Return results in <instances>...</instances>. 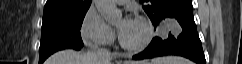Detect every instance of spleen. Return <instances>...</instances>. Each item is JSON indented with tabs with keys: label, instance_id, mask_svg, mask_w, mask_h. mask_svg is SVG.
<instances>
[{
	"label": "spleen",
	"instance_id": "3e777b00",
	"mask_svg": "<svg viewBox=\"0 0 242 64\" xmlns=\"http://www.w3.org/2000/svg\"><path fill=\"white\" fill-rule=\"evenodd\" d=\"M151 64H191L190 61L177 56L160 57L152 60Z\"/></svg>",
	"mask_w": 242,
	"mask_h": 64
}]
</instances>
